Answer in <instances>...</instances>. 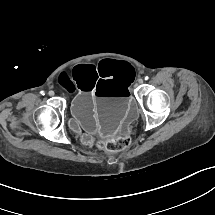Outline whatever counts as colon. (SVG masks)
<instances>
[{"instance_id":"obj_1","label":"colon","mask_w":215,"mask_h":215,"mask_svg":"<svg viewBox=\"0 0 215 215\" xmlns=\"http://www.w3.org/2000/svg\"><path fill=\"white\" fill-rule=\"evenodd\" d=\"M128 145V140L121 136L110 139H102L98 142L99 148L107 151H117L126 148Z\"/></svg>"}]
</instances>
